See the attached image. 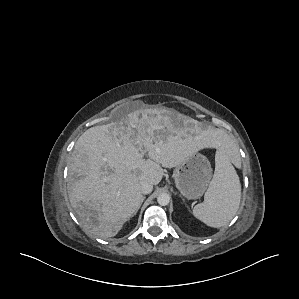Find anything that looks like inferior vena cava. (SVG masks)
Listing matches in <instances>:
<instances>
[{"label":"inferior vena cava","instance_id":"obj_1","mask_svg":"<svg viewBox=\"0 0 299 299\" xmlns=\"http://www.w3.org/2000/svg\"><path fill=\"white\" fill-rule=\"evenodd\" d=\"M141 193L142 194H149L153 190V185L147 181H142L140 183Z\"/></svg>","mask_w":299,"mask_h":299}]
</instances>
